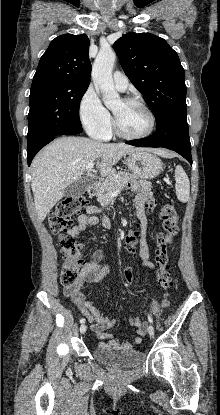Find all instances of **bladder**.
I'll return each mask as SVG.
<instances>
[{
    "instance_id": "bladder-1",
    "label": "bladder",
    "mask_w": 220,
    "mask_h": 415,
    "mask_svg": "<svg viewBox=\"0 0 220 415\" xmlns=\"http://www.w3.org/2000/svg\"><path fill=\"white\" fill-rule=\"evenodd\" d=\"M93 355L106 365L122 369L136 367L144 360V353L140 350L115 351L99 345L94 348Z\"/></svg>"
}]
</instances>
